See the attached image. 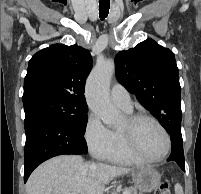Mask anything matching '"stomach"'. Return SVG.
<instances>
[{
  "instance_id": "1",
  "label": "stomach",
  "mask_w": 201,
  "mask_h": 194,
  "mask_svg": "<svg viewBox=\"0 0 201 194\" xmlns=\"http://www.w3.org/2000/svg\"><path fill=\"white\" fill-rule=\"evenodd\" d=\"M130 175L135 188L141 193L151 192L160 184V174L150 166L140 167L132 171Z\"/></svg>"
}]
</instances>
